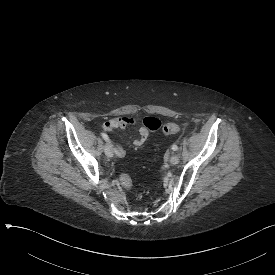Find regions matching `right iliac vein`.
I'll return each instance as SVG.
<instances>
[{"label":"right iliac vein","instance_id":"63e3f726","mask_svg":"<svg viewBox=\"0 0 275 275\" xmlns=\"http://www.w3.org/2000/svg\"><path fill=\"white\" fill-rule=\"evenodd\" d=\"M104 150H105V154L108 158L113 157V149H112L111 144L107 143L104 147Z\"/></svg>","mask_w":275,"mask_h":275}]
</instances>
